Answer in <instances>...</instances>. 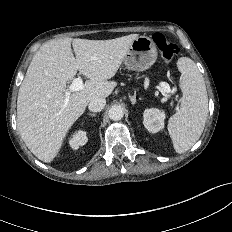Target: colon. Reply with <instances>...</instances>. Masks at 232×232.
<instances>
[{
  "label": "colon",
  "instance_id": "obj_1",
  "mask_svg": "<svg viewBox=\"0 0 232 232\" xmlns=\"http://www.w3.org/2000/svg\"><path fill=\"white\" fill-rule=\"evenodd\" d=\"M153 40L160 52L161 57L166 62H171L175 59L179 52L177 45L169 42L161 33L154 34Z\"/></svg>",
  "mask_w": 232,
  "mask_h": 232
}]
</instances>
